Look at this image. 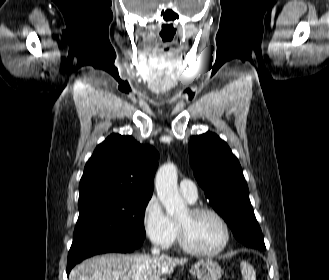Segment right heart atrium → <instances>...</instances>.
<instances>
[{
	"label": "right heart atrium",
	"mask_w": 329,
	"mask_h": 280,
	"mask_svg": "<svg viewBox=\"0 0 329 280\" xmlns=\"http://www.w3.org/2000/svg\"><path fill=\"white\" fill-rule=\"evenodd\" d=\"M142 226L146 237L159 248L168 249L176 240L177 227L155 196L151 197L143 208Z\"/></svg>",
	"instance_id": "obj_1"
}]
</instances>
